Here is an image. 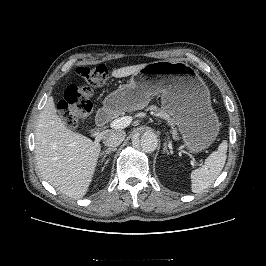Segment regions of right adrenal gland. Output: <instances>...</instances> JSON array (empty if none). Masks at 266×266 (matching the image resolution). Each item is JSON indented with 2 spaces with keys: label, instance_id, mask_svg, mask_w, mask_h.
<instances>
[{
  "label": "right adrenal gland",
  "instance_id": "obj_1",
  "mask_svg": "<svg viewBox=\"0 0 266 266\" xmlns=\"http://www.w3.org/2000/svg\"><path fill=\"white\" fill-rule=\"evenodd\" d=\"M116 150H117L116 148H108L105 151L101 152V157L103 156V159L101 160V162L104 161V159L106 158V156L108 154H110L112 151H116Z\"/></svg>",
  "mask_w": 266,
  "mask_h": 266
}]
</instances>
